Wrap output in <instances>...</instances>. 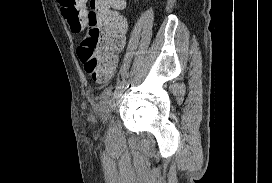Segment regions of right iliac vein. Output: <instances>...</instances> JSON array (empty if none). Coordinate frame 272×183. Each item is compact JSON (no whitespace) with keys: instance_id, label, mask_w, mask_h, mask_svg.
Wrapping results in <instances>:
<instances>
[{"instance_id":"1","label":"right iliac vein","mask_w":272,"mask_h":183,"mask_svg":"<svg viewBox=\"0 0 272 183\" xmlns=\"http://www.w3.org/2000/svg\"><path fill=\"white\" fill-rule=\"evenodd\" d=\"M110 103H111V101H110L109 97H107L100 104L98 115H99V118L103 121H105L107 119V114H108Z\"/></svg>"}]
</instances>
